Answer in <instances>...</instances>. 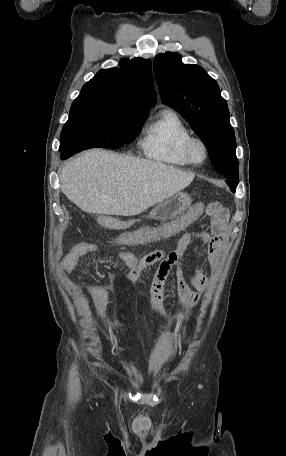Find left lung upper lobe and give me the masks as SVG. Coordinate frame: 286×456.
Returning <instances> with one entry per match:
<instances>
[{
	"mask_svg": "<svg viewBox=\"0 0 286 456\" xmlns=\"http://www.w3.org/2000/svg\"><path fill=\"white\" fill-rule=\"evenodd\" d=\"M154 73L162 102L189 123L205 144L214 168L226 177L231 190L236 189L235 134L217 82L202 67L183 64L181 56L172 52L155 57Z\"/></svg>",
	"mask_w": 286,
	"mask_h": 456,
	"instance_id": "obj_1",
	"label": "left lung upper lobe"
}]
</instances>
